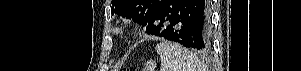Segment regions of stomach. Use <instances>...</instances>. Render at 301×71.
I'll list each match as a JSON object with an SVG mask.
<instances>
[{"mask_svg": "<svg viewBox=\"0 0 301 71\" xmlns=\"http://www.w3.org/2000/svg\"><path fill=\"white\" fill-rule=\"evenodd\" d=\"M156 62L153 60H149L144 64V71H155Z\"/></svg>", "mask_w": 301, "mask_h": 71, "instance_id": "stomach-1", "label": "stomach"}]
</instances>
